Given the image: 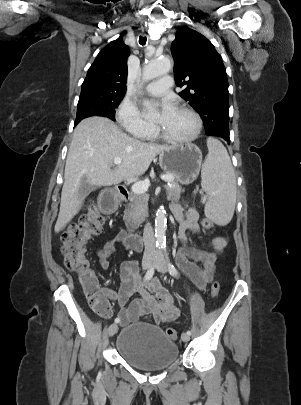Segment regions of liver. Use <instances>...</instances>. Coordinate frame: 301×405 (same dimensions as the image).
<instances>
[{
	"mask_svg": "<svg viewBox=\"0 0 301 405\" xmlns=\"http://www.w3.org/2000/svg\"><path fill=\"white\" fill-rule=\"evenodd\" d=\"M171 146L141 142L128 136L108 118L90 117L75 128L66 158L64 184L55 231L58 233L78 214L83 181L112 186L144 174L152 160ZM115 157L121 164L112 169Z\"/></svg>",
	"mask_w": 301,
	"mask_h": 405,
	"instance_id": "1",
	"label": "liver"
}]
</instances>
